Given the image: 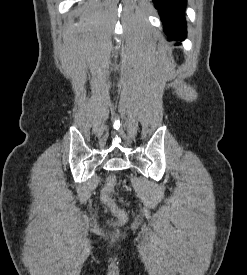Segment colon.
Returning <instances> with one entry per match:
<instances>
[{"instance_id": "1", "label": "colon", "mask_w": 247, "mask_h": 275, "mask_svg": "<svg viewBox=\"0 0 247 275\" xmlns=\"http://www.w3.org/2000/svg\"><path fill=\"white\" fill-rule=\"evenodd\" d=\"M116 183V179L114 176L110 175L107 178V182L105 187L102 190L101 198L103 203L108 206L112 213L116 216L118 220V224H124L127 221V214L122 209L118 208L112 199V194L114 192V186Z\"/></svg>"}]
</instances>
